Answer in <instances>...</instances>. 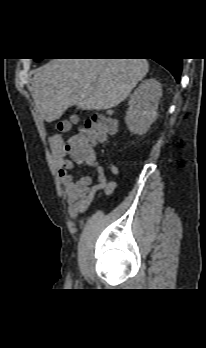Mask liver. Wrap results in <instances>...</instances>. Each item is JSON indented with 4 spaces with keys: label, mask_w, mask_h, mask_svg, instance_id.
<instances>
[{
    "label": "liver",
    "mask_w": 206,
    "mask_h": 348,
    "mask_svg": "<svg viewBox=\"0 0 206 348\" xmlns=\"http://www.w3.org/2000/svg\"><path fill=\"white\" fill-rule=\"evenodd\" d=\"M149 71L146 59H52L35 71L32 97L47 122L71 106L116 107Z\"/></svg>",
    "instance_id": "liver-1"
}]
</instances>
